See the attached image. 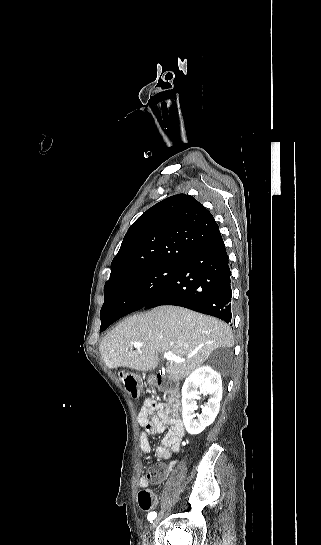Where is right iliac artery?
Masks as SVG:
<instances>
[{
	"mask_svg": "<svg viewBox=\"0 0 321 545\" xmlns=\"http://www.w3.org/2000/svg\"><path fill=\"white\" fill-rule=\"evenodd\" d=\"M156 516H157L156 512H150V513L148 514V520H149L150 522H152V521L156 518Z\"/></svg>",
	"mask_w": 321,
	"mask_h": 545,
	"instance_id": "obj_1",
	"label": "right iliac artery"
}]
</instances>
